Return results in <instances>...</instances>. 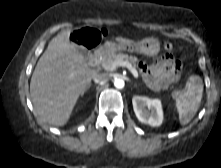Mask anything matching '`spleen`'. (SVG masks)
<instances>
[{"instance_id":"obj_1","label":"spleen","mask_w":221,"mask_h":168,"mask_svg":"<svg viewBox=\"0 0 221 168\" xmlns=\"http://www.w3.org/2000/svg\"><path fill=\"white\" fill-rule=\"evenodd\" d=\"M203 82L200 76L189 77L184 91L176 99V108L181 125H186L196 114L202 99Z\"/></svg>"}]
</instances>
